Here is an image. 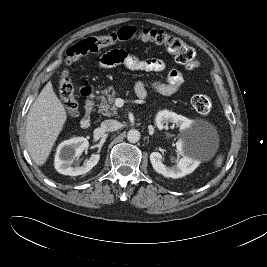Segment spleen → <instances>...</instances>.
Instances as JSON below:
<instances>
[{
    "mask_svg": "<svg viewBox=\"0 0 267 267\" xmlns=\"http://www.w3.org/2000/svg\"><path fill=\"white\" fill-rule=\"evenodd\" d=\"M222 162H223V155L217 156V158L215 160V166L220 167L222 165Z\"/></svg>",
    "mask_w": 267,
    "mask_h": 267,
    "instance_id": "1",
    "label": "spleen"
}]
</instances>
